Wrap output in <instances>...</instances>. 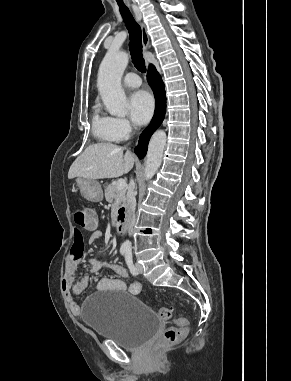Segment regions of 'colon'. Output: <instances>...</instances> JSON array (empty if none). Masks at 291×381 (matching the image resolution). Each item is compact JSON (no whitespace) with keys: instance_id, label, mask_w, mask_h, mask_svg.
I'll return each mask as SVG.
<instances>
[{"instance_id":"1","label":"colon","mask_w":291,"mask_h":381,"mask_svg":"<svg viewBox=\"0 0 291 381\" xmlns=\"http://www.w3.org/2000/svg\"><path fill=\"white\" fill-rule=\"evenodd\" d=\"M75 223L82 230H93L97 225V218L93 210L85 207L75 208L73 211ZM80 233V232H79ZM81 235V233H80ZM158 315L163 320L171 318L172 310L168 307L158 308ZM188 326V321L185 317H179L174 321V325L167 328L161 341L156 348L172 346L179 343L184 337Z\"/></svg>"}]
</instances>
